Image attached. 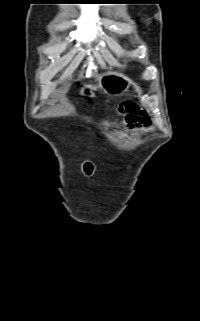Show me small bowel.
Returning <instances> with one entry per match:
<instances>
[{"mask_svg":"<svg viewBox=\"0 0 200 321\" xmlns=\"http://www.w3.org/2000/svg\"><path fill=\"white\" fill-rule=\"evenodd\" d=\"M122 112H125V122L129 129L148 128L151 126V120L145 111L140 110L135 104L126 102L121 107Z\"/></svg>","mask_w":200,"mask_h":321,"instance_id":"1","label":"small bowel"}]
</instances>
